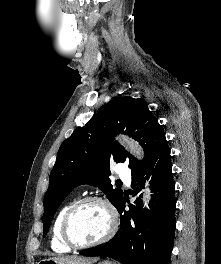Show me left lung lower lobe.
Here are the masks:
<instances>
[{
  "label": "left lung lower lobe",
  "mask_w": 221,
  "mask_h": 264,
  "mask_svg": "<svg viewBox=\"0 0 221 264\" xmlns=\"http://www.w3.org/2000/svg\"><path fill=\"white\" fill-rule=\"evenodd\" d=\"M151 176L150 210H142L140 198L125 210L126 196L117 207L121 216L120 229L108 242L80 252L87 256H107L122 264H170L175 235V183L172 175L170 149L162 142L150 163L132 175L131 194L144 188Z\"/></svg>",
  "instance_id": "1"
}]
</instances>
